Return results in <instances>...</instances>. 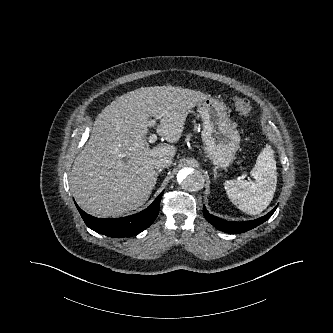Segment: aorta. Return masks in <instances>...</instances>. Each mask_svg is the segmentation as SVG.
Returning <instances> with one entry per match:
<instances>
[{
  "mask_svg": "<svg viewBox=\"0 0 333 333\" xmlns=\"http://www.w3.org/2000/svg\"><path fill=\"white\" fill-rule=\"evenodd\" d=\"M177 181L185 191L197 192L204 187L205 179L200 171L184 168L178 172Z\"/></svg>",
  "mask_w": 333,
  "mask_h": 333,
  "instance_id": "1",
  "label": "aorta"
}]
</instances>
